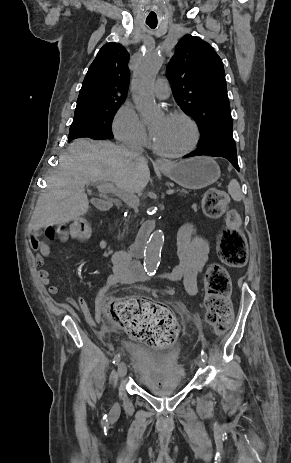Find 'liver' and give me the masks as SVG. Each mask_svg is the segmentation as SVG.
Wrapping results in <instances>:
<instances>
[{
  "label": "liver",
  "mask_w": 291,
  "mask_h": 463,
  "mask_svg": "<svg viewBox=\"0 0 291 463\" xmlns=\"http://www.w3.org/2000/svg\"><path fill=\"white\" fill-rule=\"evenodd\" d=\"M149 179L148 162L141 154L131 155L124 146L109 141L75 140L38 198L29 226L37 230L64 225L85 215L90 208L85 185L90 182H111L134 194L141 192Z\"/></svg>",
  "instance_id": "obj_1"
}]
</instances>
